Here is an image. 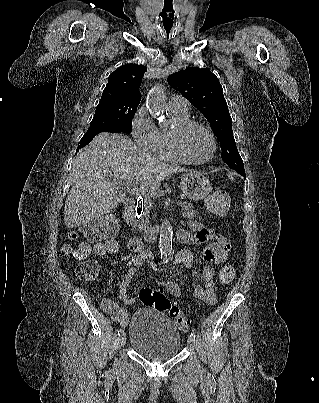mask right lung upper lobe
Returning <instances> with one entry per match:
<instances>
[{
    "label": "right lung upper lobe",
    "instance_id": "obj_1",
    "mask_svg": "<svg viewBox=\"0 0 319 403\" xmlns=\"http://www.w3.org/2000/svg\"><path fill=\"white\" fill-rule=\"evenodd\" d=\"M146 71V67L137 64H127L116 69L108 78L99 104L120 103L137 107L141 100L139 87Z\"/></svg>",
    "mask_w": 319,
    "mask_h": 403
}]
</instances>
